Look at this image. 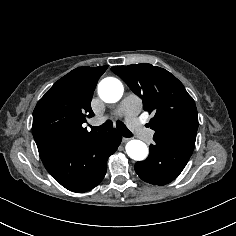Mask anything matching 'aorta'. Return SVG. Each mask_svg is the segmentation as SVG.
<instances>
[{
	"mask_svg": "<svg viewBox=\"0 0 236 236\" xmlns=\"http://www.w3.org/2000/svg\"><path fill=\"white\" fill-rule=\"evenodd\" d=\"M123 90L121 81L114 77L104 78L98 85V94L106 103L119 101L123 95ZM125 149L127 155L136 161H142L148 155L147 145L140 140H130Z\"/></svg>",
	"mask_w": 236,
	"mask_h": 236,
	"instance_id": "aorta-1",
	"label": "aorta"
}]
</instances>
